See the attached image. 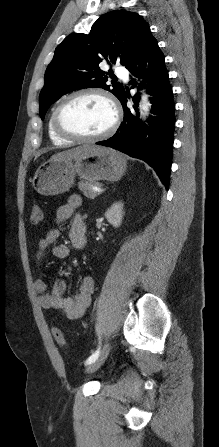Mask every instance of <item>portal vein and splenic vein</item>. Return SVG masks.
Returning a JSON list of instances; mask_svg holds the SVG:
<instances>
[{"label":"portal vein and splenic vein","instance_id":"obj_1","mask_svg":"<svg viewBox=\"0 0 219 447\" xmlns=\"http://www.w3.org/2000/svg\"><path fill=\"white\" fill-rule=\"evenodd\" d=\"M92 189H93L94 192H97V193H100V192L103 191L101 188H99V187H95V186L92 187Z\"/></svg>","mask_w":219,"mask_h":447}]
</instances>
